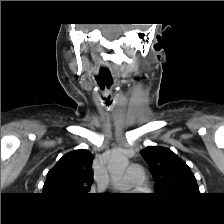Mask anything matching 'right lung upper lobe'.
<instances>
[{"label":"right lung upper lobe","instance_id":"cb5924a9","mask_svg":"<svg viewBox=\"0 0 224 224\" xmlns=\"http://www.w3.org/2000/svg\"><path fill=\"white\" fill-rule=\"evenodd\" d=\"M94 156L84 149L65 154L47 173L43 193L88 194L93 182L92 161Z\"/></svg>","mask_w":224,"mask_h":224}]
</instances>
